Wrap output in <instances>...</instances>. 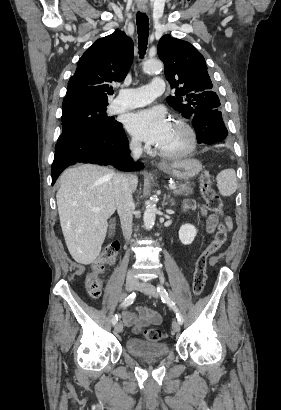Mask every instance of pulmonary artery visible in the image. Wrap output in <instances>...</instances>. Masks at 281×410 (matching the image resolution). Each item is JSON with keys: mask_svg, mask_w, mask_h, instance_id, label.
Returning a JSON list of instances; mask_svg holds the SVG:
<instances>
[{"mask_svg": "<svg viewBox=\"0 0 281 410\" xmlns=\"http://www.w3.org/2000/svg\"><path fill=\"white\" fill-rule=\"evenodd\" d=\"M165 90L161 78H154L150 84L134 89H119L118 97L113 103L115 111L129 110L152 102Z\"/></svg>", "mask_w": 281, "mask_h": 410, "instance_id": "pulmonary-artery-1", "label": "pulmonary artery"}]
</instances>
